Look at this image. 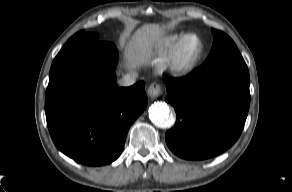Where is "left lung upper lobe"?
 <instances>
[{"mask_svg":"<svg viewBox=\"0 0 292 192\" xmlns=\"http://www.w3.org/2000/svg\"><path fill=\"white\" fill-rule=\"evenodd\" d=\"M214 42L212 50L204 64L214 63L223 59H243L236 44L221 31L212 29Z\"/></svg>","mask_w":292,"mask_h":192,"instance_id":"left-lung-upper-lobe-1","label":"left lung upper lobe"}]
</instances>
